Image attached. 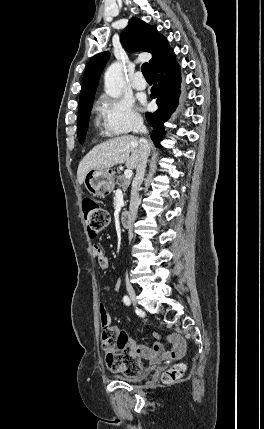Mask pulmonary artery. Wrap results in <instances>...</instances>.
Returning <instances> with one entry per match:
<instances>
[{
    "label": "pulmonary artery",
    "mask_w": 264,
    "mask_h": 429,
    "mask_svg": "<svg viewBox=\"0 0 264 429\" xmlns=\"http://www.w3.org/2000/svg\"><path fill=\"white\" fill-rule=\"evenodd\" d=\"M147 84L145 79L142 77L141 72H136L133 79V87L137 90H144Z\"/></svg>",
    "instance_id": "e3ab8cb5"
}]
</instances>
